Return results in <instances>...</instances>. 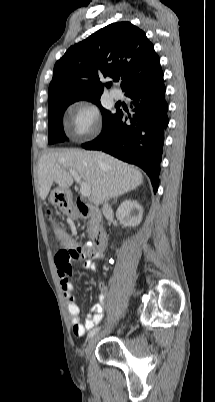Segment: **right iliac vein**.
Returning <instances> with one entry per match:
<instances>
[{"label":"right iliac vein","instance_id":"right-iliac-vein-1","mask_svg":"<svg viewBox=\"0 0 215 402\" xmlns=\"http://www.w3.org/2000/svg\"><path fill=\"white\" fill-rule=\"evenodd\" d=\"M101 336H102V334H97V335H94L93 337H91V339L89 340V343L85 349L86 359L89 358L90 354L92 353L93 349L95 348V346Z\"/></svg>","mask_w":215,"mask_h":402}]
</instances>
